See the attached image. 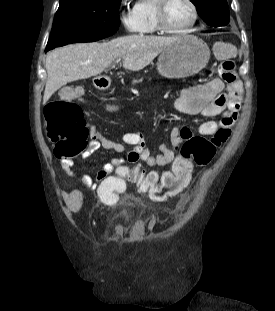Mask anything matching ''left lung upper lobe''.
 <instances>
[{
  "mask_svg": "<svg viewBox=\"0 0 275 311\" xmlns=\"http://www.w3.org/2000/svg\"><path fill=\"white\" fill-rule=\"evenodd\" d=\"M198 9L199 16L212 27L229 23V7L226 0H190Z\"/></svg>",
  "mask_w": 275,
  "mask_h": 311,
  "instance_id": "obj_1",
  "label": "left lung upper lobe"
}]
</instances>
